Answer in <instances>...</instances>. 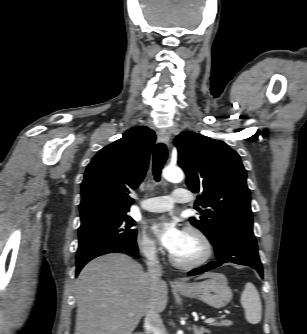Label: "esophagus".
I'll return each mask as SVG.
<instances>
[{"label": "esophagus", "instance_id": "1", "mask_svg": "<svg viewBox=\"0 0 307 334\" xmlns=\"http://www.w3.org/2000/svg\"><path fill=\"white\" fill-rule=\"evenodd\" d=\"M157 137H158L159 142L165 144L166 146H169V142H170L169 132L164 131V130H158ZM171 284L174 287H185L186 286V283L180 280H173Z\"/></svg>", "mask_w": 307, "mask_h": 334}]
</instances>
